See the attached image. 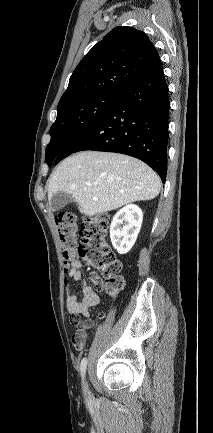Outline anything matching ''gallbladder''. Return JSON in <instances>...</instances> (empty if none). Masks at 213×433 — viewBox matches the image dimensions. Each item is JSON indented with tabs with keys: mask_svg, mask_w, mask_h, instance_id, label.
Returning a JSON list of instances; mask_svg holds the SVG:
<instances>
[{
	"mask_svg": "<svg viewBox=\"0 0 213 433\" xmlns=\"http://www.w3.org/2000/svg\"><path fill=\"white\" fill-rule=\"evenodd\" d=\"M74 198L71 194L59 191L53 195L50 201V206L53 211L64 208L67 204L72 203Z\"/></svg>",
	"mask_w": 213,
	"mask_h": 433,
	"instance_id": "gallbladder-1",
	"label": "gallbladder"
}]
</instances>
